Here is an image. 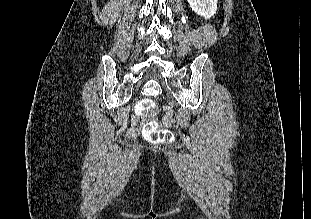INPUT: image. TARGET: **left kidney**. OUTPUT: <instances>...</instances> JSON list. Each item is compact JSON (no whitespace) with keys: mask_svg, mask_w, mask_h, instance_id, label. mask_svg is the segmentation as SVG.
Segmentation results:
<instances>
[{"mask_svg":"<svg viewBox=\"0 0 311 219\" xmlns=\"http://www.w3.org/2000/svg\"><path fill=\"white\" fill-rule=\"evenodd\" d=\"M192 10L205 19H210L217 10L218 0H187Z\"/></svg>","mask_w":311,"mask_h":219,"instance_id":"left-kidney-1","label":"left kidney"}]
</instances>
